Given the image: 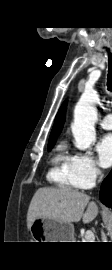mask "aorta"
<instances>
[{
	"instance_id": "1",
	"label": "aorta",
	"mask_w": 112,
	"mask_h": 270,
	"mask_svg": "<svg viewBox=\"0 0 112 270\" xmlns=\"http://www.w3.org/2000/svg\"><path fill=\"white\" fill-rule=\"evenodd\" d=\"M98 94L94 90L85 91L74 110V122L71 126L75 146L85 150L96 139L94 124L97 120L96 104Z\"/></svg>"
}]
</instances>
